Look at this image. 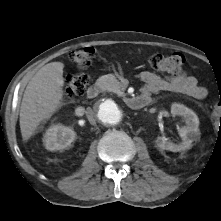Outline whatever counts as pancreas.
I'll return each instance as SVG.
<instances>
[{"mask_svg":"<svg viewBox=\"0 0 221 221\" xmlns=\"http://www.w3.org/2000/svg\"><path fill=\"white\" fill-rule=\"evenodd\" d=\"M97 85L102 91L118 93L121 90V84L113 74L101 76L97 80Z\"/></svg>","mask_w":221,"mask_h":221,"instance_id":"1","label":"pancreas"}]
</instances>
